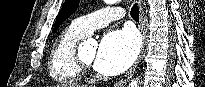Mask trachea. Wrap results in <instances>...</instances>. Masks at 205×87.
Masks as SVG:
<instances>
[{
    "mask_svg": "<svg viewBox=\"0 0 205 87\" xmlns=\"http://www.w3.org/2000/svg\"><path fill=\"white\" fill-rule=\"evenodd\" d=\"M131 17L136 20V21H139V8H138V5L137 3H135L132 8H131Z\"/></svg>",
    "mask_w": 205,
    "mask_h": 87,
    "instance_id": "obj_1",
    "label": "trachea"
}]
</instances>
